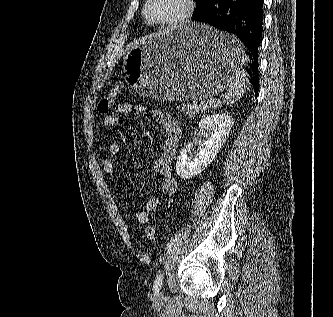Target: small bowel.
Returning a JSON list of instances; mask_svg holds the SVG:
<instances>
[{
  "mask_svg": "<svg viewBox=\"0 0 333 317\" xmlns=\"http://www.w3.org/2000/svg\"><path fill=\"white\" fill-rule=\"evenodd\" d=\"M146 109L131 103H120L116 106L113 114L107 115L102 121L104 128H110L119 123V116L130 114L132 112H144ZM153 119L166 131L167 137L163 145L162 151L158 158L153 162V168L160 177L159 189L162 194L171 196L177 191V182L171 172V163L178 148L181 138L180 125L167 113L151 109L149 111ZM110 156L117 157L121 153V147L118 143H111L108 147ZM104 171L114 177L116 169L113 162L109 158L102 160ZM160 204V198L154 196L147 200L142 209L135 213V223L137 226H145L149 221V213L156 210Z\"/></svg>",
  "mask_w": 333,
  "mask_h": 317,
  "instance_id": "obj_1",
  "label": "small bowel"
}]
</instances>
